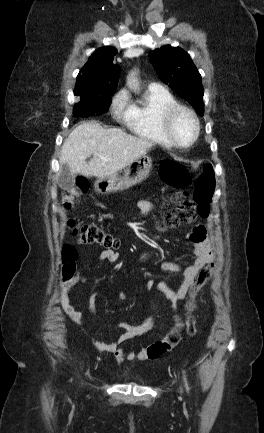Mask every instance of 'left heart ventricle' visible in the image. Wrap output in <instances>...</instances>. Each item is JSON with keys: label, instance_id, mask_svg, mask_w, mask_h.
I'll use <instances>...</instances> for the list:
<instances>
[{"label": "left heart ventricle", "instance_id": "b2bd125f", "mask_svg": "<svg viewBox=\"0 0 264 433\" xmlns=\"http://www.w3.org/2000/svg\"><path fill=\"white\" fill-rule=\"evenodd\" d=\"M172 132L180 143H189L195 133V124L192 118L187 113H179L172 123Z\"/></svg>", "mask_w": 264, "mask_h": 433}]
</instances>
